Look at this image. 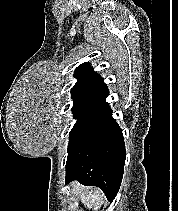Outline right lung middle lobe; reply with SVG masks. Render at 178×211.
<instances>
[{"mask_svg": "<svg viewBox=\"0 0 178 211\" xmlns=\"http://www.w3.org/2000/svg\"><path fill=\"white\" fill-rule=\"evenodd\" d=\"M95 106V104H75L73 105V117L77 118V122L73 126L70 135L76 129V127L83 121V119L88 115L91 109Z\"/></svg>", "mask_w": 178, "mask_h": 211, "instance_id": "obj_1", "label": "right lung middle lobe"}]
</instances>
